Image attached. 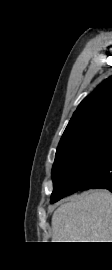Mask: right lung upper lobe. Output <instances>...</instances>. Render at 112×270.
Wrapping results in <instances>:
<instances>
[{"label":"right lung upper lobe","mask_w":112,"mask_h":270,"mask_svg":"<svg viewBox=\"0 0 112 270\" xmlns=\"http://www.w3.org/2000/svg\"><path fill=\"white\" fill-rule=\"evenodd\" d=\"M108 122H112V76L80 103L59 143Z\"/></svg>","instance_id":"1"}]
</instances>
